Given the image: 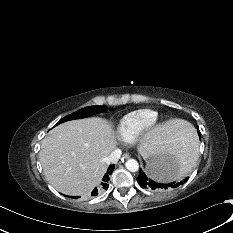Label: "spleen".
<instances>
[{"mask_svg": "<svg viewBox=\"0 0 233 233\" xmlns=\"http://www.w3.org/2000/svg\"><path fill=\"white\" fill-rule=\"evenodd\" d=\"M197 141L194 129L191 124L186 122V128L183 135L178 139L175 151L171 154L172 161L179 168L178 177H180L187 168L191 167L196 161Z\"/></svg>", "mask_w": 233, "mask_h": 233, "instance_id": "1", "label": "spleen"}]
</instances>
